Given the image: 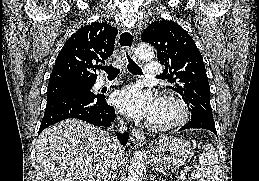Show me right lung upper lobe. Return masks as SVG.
I'll list each match as a JSON object with an SVG mask.
<instances>
[{"instance_id": "obj_1", "label": "right lung upper lobe", "mask_w": 259, "mask_h": 181, "mask_svg": "<svg viewBox=\"0 0 259 181\" xmlns=\"http://www.w3.org/2000/svg\"><path fill=\"white\" fill-rule=\"evenodd\" d=\"M118 31L105 22L86 25L75 32L57 56L49 85L95 83L98 64L114 50Z\"/></svg>"}]
</instances>
